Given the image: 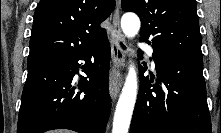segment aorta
Here are the masks:
<instances>
[{
	"label": "aorta",
	"instance_id": "1",
	"mask_svg": "<svg viewBox=\"0 0 221 133\" xmlns=\"http://www.w3.org/2000/svg\"><path fill=\"white\" fill-rule=\"evenodd\" d=\"M121 27L125 36L133 38L139 32L141 22L136 14L126 13L121 19ZM137 89V73L131 64L114 113L112 133H128Z\"/></svg>",
	"mask_w": 221,
	"mask_h": 133
}]
</instances>
